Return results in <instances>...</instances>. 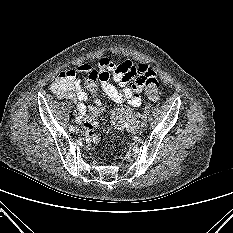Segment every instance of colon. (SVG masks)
I'll return each instance as SVG.
<instances>
[{
	"mask_svg": "<svg viewBox=\"0 0 233 233\" xmlns=\"http://www.w3.org/2000/svg\"><path fill=\"white\" fill-rule=\"evenodd\" d=\"M107 78L108 76L106 73L99 72L98 70H93L92 72H90L85 81V88L90 92V94L96 95L100 83ZM145 83V91L148 98L152 101H157L160 98L161 94L160 84L158 80L155 77L150 76L146 79ZM71 88V80L65 72L60 73L52 85L53 92L60 97L66 95L71 90ZM103 110L104 107L102 103L96 102L87 114L83 124L85 134L94 143H98L100 141L99 137L95 133V130L98 126L99 119Z\"/></svg>",
	"mask_w": 233,
	"mask_h": 233,
	"instance_id": "5ec220e1",
	"label": "colon"
}]
</instances>
